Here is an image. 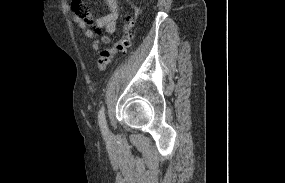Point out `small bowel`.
I'll list each match as a JSON object with an SVG mask.
<instances>
[{"label":"small bowel","instance_id":"small-bowel-1","mask_svg":"<svg viewBox=\"0 0 285 183\" xmlns=\"http://www.w3.org/2000/svg\"><path fill=\"white\" fill-rule=\"evenodd\" d=\"M72 10L75 6L80 11H73L72 21L83 31L86 39L92 40V48L94 50H101L103 45L111 42L110 35L116 30V21L120 15V6L118 0H105L109 9L104 16L93 18V16L83 7L82 0L72 1ZM104 29L105 33L100 31Z\"/></svg>","mask_w":285,"mask_h":183}]
</instances>
